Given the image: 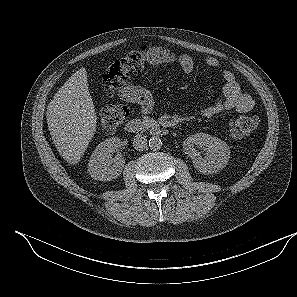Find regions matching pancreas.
I'll list each match as a JSON object with an SVG mask.
<instances>
[{
    "instance_id": "pancreas-1",
    "label": "pancreas",
    "mask_w": 297,
    "mask_h": 297,
    "mask_svg": "<svg viewBox=\"0 0 297 297\" xmlns=\"http://www.w3.org/2000/svg\"><path fill=\"white\" fill-rule=\"evenodd\" d=\"M143 124L146 125L147 127H150V126H154L156 122L151 118L145 117L143 119Z\"/></svg>"
}]
</instances>
